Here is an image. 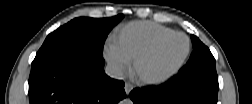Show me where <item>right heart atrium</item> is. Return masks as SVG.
Instances as JSON below:
<instances>
[{
    "mask_svg": "<svg viewBox=\"0 0 252 104\" xmlns=\"http://www.w3.org/2000/svg\"><path fill=\"white\" fill-rule=\"evenodd\" d=\"M106 54L108 61L118 72L123 73L129 68V61L119 53L113 43L108 45Z\"/></svg>",
    "mask_w": 252,
    "mask_h": 104,
    "instance_id": "d8ad5b80",
    "label": "right heart atrium"
}]
</instances>
